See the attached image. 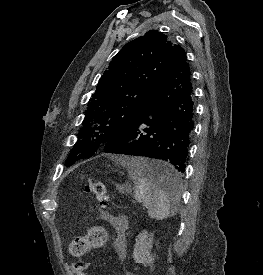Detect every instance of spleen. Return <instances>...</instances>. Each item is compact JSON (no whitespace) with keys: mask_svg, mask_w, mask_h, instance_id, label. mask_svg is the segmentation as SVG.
Returning a JSON list of instances; mask_svg holds the SVG:
<instances>
[{"mask_svg":"<svg viewBox=\"0 0 263 275\" xmlns=\"http://www.w3.org/2000/svg\"><path fill=\"white\" fill-rule=\"evenodd\" d=\"M122 165L127 168L134 183L135 199L145 205L148 216L151 219L164 220L175 213V205L179 200V183H177V186L172 192L175 197L171 199L168 194L154 184L145 173L146 169L150 170L152 168L168 170L171 167L168 163L132 157L123 160Z\"/></svg>","mask_w":263,"mask_h":275,"instance_id":"1","label":"spleen"}]
</instances>
